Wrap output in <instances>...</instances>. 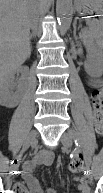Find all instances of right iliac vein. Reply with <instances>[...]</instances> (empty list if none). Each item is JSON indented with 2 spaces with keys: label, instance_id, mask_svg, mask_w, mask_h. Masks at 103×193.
Returning a JSON list of instances; mask_svg holds the SVG:
<instances>
[{
  "label": "right iliac vein",
  "instance_id": "63e3f726",
  "mask_svg": "<svg viewBox=\"0 0 103 193\" xmlns=\"http://www.w3.org/2000/svg\"><path fill=\"white\" fill-rule=\"evenodd\" d=\"M36 137H37V132L36 131H31L28 135V137L26 138V141L24 143L23 149L20 152V154L16 157L15 162L13 163V165L11 166V173H14L18 167L19 164L21 162V158L23 153L31 146L35 143L36 141Z\"/></svg>",
  "mask_w": 103,
  "mask_h": 193
}]
</instances>
